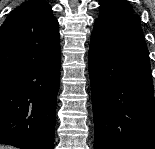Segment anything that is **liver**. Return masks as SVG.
I'll return each mask as SVG.
<instances>
[{
	"label": "liver",
	"instance_id": "liver-1",
	"mask_svg": "<svg viewBox=\"0 0 155 149\" xmlns=\"http://www.w3.org/2000/svg\"><path fill=\"white\" fill-rule=\"evenodd\" d=\"M0 149H14V148H12L10 146H2V145H0Z\"/></svg>",
	"mask_w": 155,
	"mask_h": 149
}]
</instances>
